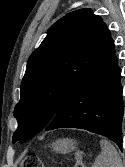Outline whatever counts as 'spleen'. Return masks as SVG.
<instances>
[{"label": "spleen", "instance_id": "spleen-1", "mask_svg": "<svg viewBox=\"0 0 125 167\" xmlns=\"http://www.w3.org/2000/svg\"><path fill=\"white\" fill-rule=\"evenodd\" d=\"M101 152L92 167H124L115 147L106 139L100 141Z\"/></svg>", "mask_w": 125, "mask_h": 167}]
</instances>
